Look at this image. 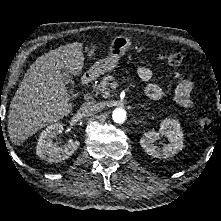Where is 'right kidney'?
Returning <instances> with one entry per match:
<instances>
[{
    "label": "right kidney",
    "instance_id": "obj_1",
    "mask_svg": "<svg viewBox=\"0 0 221 221\" xmlns=\"http://www.w3.org/2000/svg\"><path fill=\"white\" fill-rule=\"evenodd\" d=\"M62 131L63 125L61 123L52 124L42 131L36 148V154L40 158L50 163L61 162L69 158L78 149L80 142L77 140L69 141L61 147H58L53 142V138L62 133Z\"/></svg>",
    "mask_w": 221,
    "mask_h": 221
}]
</instances>
